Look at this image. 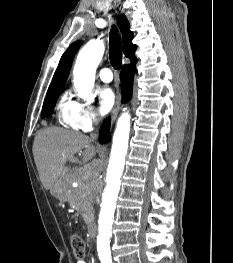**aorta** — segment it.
Listing matches in <instances>:
<instances>
[{"mask_svg":"<svg viewBox=\"0 0 233 263\" xmlns=\"http://www.w3.org/2000/svg\"><path fill=\"white\" fill-rule=\"evenodd\" d=\"M104 54L101 40H90L79 52L73 75L74 85L81 98H91L95 71ZM130 133V115L123 113L117 121L107 169L106 185L102 189L101 210L98 221L97 250L102 260L111 259L110 236L120 190Z\"/></svg>","mask_w":233,"mask_h":263,"instance_id":"1","label":"aorta"}]
</instances>
